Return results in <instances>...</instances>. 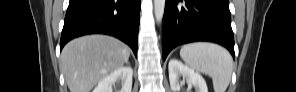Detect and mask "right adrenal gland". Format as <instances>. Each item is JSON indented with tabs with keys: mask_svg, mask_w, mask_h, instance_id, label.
<instances>
[{
	"mask_svg": "<svg viewBox=\"0 0 296 92\" xmlns=\"http://www.w3.org/2000/svg\"><path fill=\"white\" fill-rule=\"evenodd\" d=\"M126 64L130 66V63L128 61L126 62Z\"/></svg>",
	"mask_w": 296,
	"mask_h": 92,
	"instance_id": "right-adrenal-gland-1",
	"label": "right adrenal gland"
}]
</instances>
